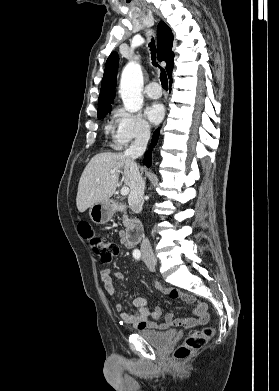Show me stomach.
<instances>
[{
	"instance_id": "1",
	"label": "stomach",
	"mask_w": 279,
	"mask_h": 391,
	"mask_svg": "<svg viewBox=\"0 0 279 391\" xmlns=\"http://www.w3.org/2000/svg\"><path fill=\"white\" fill-rule=\"evenodd\" d=\"M89 215L94 223L105 224L113 215L112 205L107 201L96 203L90 207Z\"/></svg>"
}]
</instances>
